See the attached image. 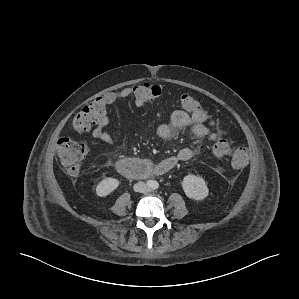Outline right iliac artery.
<instances>
[{
  "label": "right iliac artery",
  "mask_w": 299,
  "mask_h": 299,
  "mask_svg": "<svg viewBox=\"0 0 299 299\" xmlns=\"http://www.w3.org/2000/svg\"><path fill=\"white\" fill-rule=\"evenodd\" d=\"M147 185L151 186L152 182L151 181H147Z\"/></svg>",
  "instance_id": "obj_1"
}]
</instances>
